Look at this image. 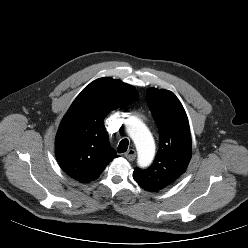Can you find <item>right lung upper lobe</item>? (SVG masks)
I'll return each mask as SVG.
<instances>
[{"instance_id": "right-lung-upper-lobe-1", "label": "right lung upper lobe", "mask_w": 248, "mask_h": 248, "mask_svg": "<svg viewBox=\"0 0 248 248\" xmlns=\"http://www.w3.org/2000/svg\"><path fill=\"white\" fill-rule=\"evenodd\" d=\"M135 88L112 78L91 82L63 117L55 139V154L62 170L87 183L97 179L117 157L103 121L114 109L137 99Z\"/></svg>"}]
</instances>
